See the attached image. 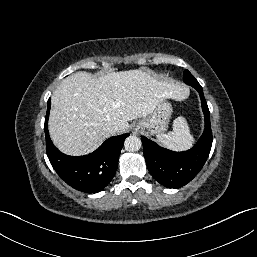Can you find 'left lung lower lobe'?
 Here are the masks:
<instances>
[{
    "label": "left lung lower lobe",
    "instance_id": "1",
    "mask_svg": "<svg viewBox=\"0 0 257 257\" xmlns=\"http://www.w3.org/2000/svg\"><path fill=\"white\" fill-rule=\"evenodd\" d=\"M195 89L201 98L205 129L194 147L184 152H174L142 136L147 168L152 176L167 188L177 189L189 183L202 169L211 150L213 138L210 112L202 87L198 86Z\"/></svg>",
    "mask_w": 257,
    "mask_h": 257
}]
</instances>
